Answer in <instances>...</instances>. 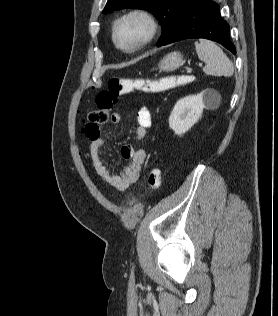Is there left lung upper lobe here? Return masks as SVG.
Returning a JSON list of instances; mask_svg holds the SVG:
<instances>
[{
	"label": "left lung upper lobe",
	"instance_id": "1",
	"mask_svg": "<svg viewBox=\"0 0 278 316\" xmlns=\"http://www.w3.org/2000/svg\"><path fill=\"white\" fill-rule=\"evenodd\" d=\"M189 0H108L103 13L121 8H142L152 12L162 25L157 46H161L172 34L179 17Z\"/></svg>",
	"mask_w": 278,
	"mask_h": 316
}]
</instances>
